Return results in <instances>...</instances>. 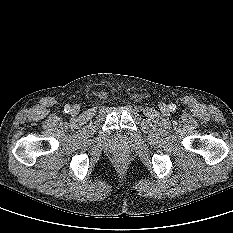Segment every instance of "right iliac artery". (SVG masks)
<instances>
[{
	"mask_svg": "<svg viewBox=\"0 0 233 233\" xmlns=\"http://www.w3.org/2000/svg\"><path fill=\"white\" fill-rule=\"evenodd\" d=\"M70 110H71L70 106H69V105H65L64 111H65L66 113H68V112H70Z\"/></svg>",
	"mask_w": 233,
	"mask_h": 233,
	"instance_id": "obj_1",
	"label": "right iliac artery"
}]
</instances>
